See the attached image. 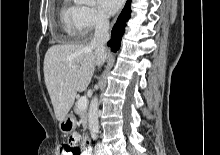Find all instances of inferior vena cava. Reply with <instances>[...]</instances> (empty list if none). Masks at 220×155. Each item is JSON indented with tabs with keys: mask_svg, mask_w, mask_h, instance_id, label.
Here are the masks:
<instances>
[{
	"mask_svg": "<svg viewBox=\"0 0 220 155\" xmlns=\"http://www.w3.org/2000/svg\"><path fill=\"white\" fill-rule=\"evenodd\" d=\"M109 20L108 16L102 14L99 17L98 23L95 27L94 38L91 42L90 47L94 49L96 58V65L98 67L102 66L106 60V47L105 44L109 39Z\"/></svg>",
	"mask_w": 220,
	"mask_h": 155,
	"instance_id": "1",
	"label": "inferior vena cava"
}]
</instances>
